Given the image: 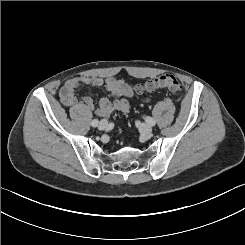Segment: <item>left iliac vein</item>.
<instances>
[{
	"label": "left iliac vein",
	"mask_w": 245,
	"mask_h": 245,
	"mask_svg": "<svg viewBox=\"0 0 245 245\" xmlns=\"http://www.w3.org/2000/svg\"><path fill=\"white\" fill-rule=\"evenodd\" d=\"M139 131L143 134H150L152 132V128L150 125L144 123L140 125Z\"/></svg>",
	"instance_id": "1"
}]
</instances>
